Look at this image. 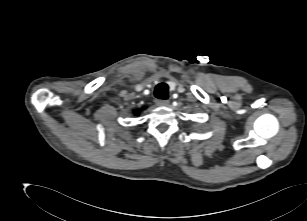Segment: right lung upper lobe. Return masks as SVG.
Returning <instances> with one entry per match:
<instances>
[{
  "label": "right lung upper lobe",
  "mask_w": 307,
  "mask_h": 221,
  "mask_svg": "<svg viewBox=\"0 0 307 221\" xmlns=\"http://www.w3.org/2000/svg\"><path fill=\"white\" fill-rule=\"evenodd\" d=\"M140 111L139 110H134V115H139Z\"/></svg>",
  "instance_id": "cb5924a9"
}]
</instances>
